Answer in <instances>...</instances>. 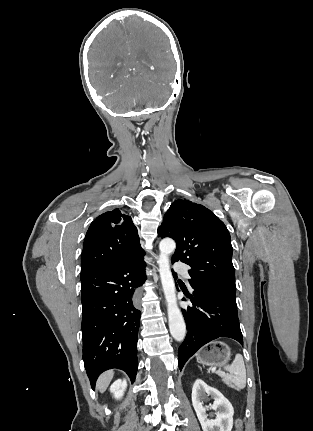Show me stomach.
<instances>
[{"mask_svg": "<svg viewBox=\"0 0 313 431\" xmlns=\"http://www.w3.org/2000/svg\"><path fill=\"white\" fill-rule=\"evenodd\" d=\"M230 348L222 342H214L209 349H204L197 355V360L203 365L223 366L230 360Z\"/></svg>", "mask_w": 313, "mask_h": 431, "instance_id": "obj_1", "label": "stomach"}]
</instances>
